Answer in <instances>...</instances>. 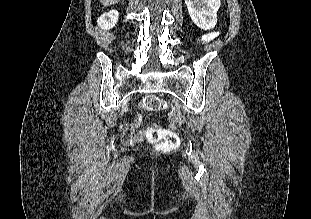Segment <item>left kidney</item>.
Segmentation results:
<instances>
[{"instance_id": "obj_1", "label": "left kidney", "mask_w": 311, "mask_h": 219, "mask_svg": "<svg viewBox=\"0 0 311 219\" xmlns=\"http://www.w3.org/2000/svg\"><path fill=\"white\" fill-rule=\"evenodd\" d=\"M192 21L201 29L209 30L217 23L220 0H185Z\"/></svg>"}]
</instances>
